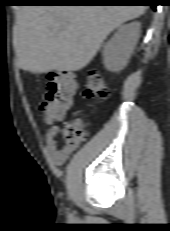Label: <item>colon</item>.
<instances>
[{
    "mask_svg": "<svg viewBox=\"0 0 170 231\" xmlns=\"http://www.w3.org/2000/svg\"><path fill=\"white\" fill-rule=\"evenodd\" d=\"M76 80L71 73L56 72L49 75L46 98L40 109L47 123L62 121L74 105ZM110 90L102 75L95 69L87 72L83 94L88 99H106ZM65 145L76 149L88 140L90 131L81 121H73L61 129Z\"/></svg>",
    "mask_w": 170,
    "mask_h": 231,
    "instance_id": "colon-1",
    "label": "colon"
}]
</instances>
